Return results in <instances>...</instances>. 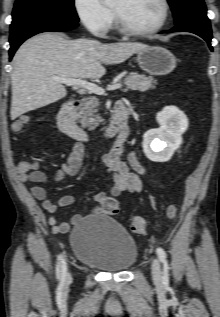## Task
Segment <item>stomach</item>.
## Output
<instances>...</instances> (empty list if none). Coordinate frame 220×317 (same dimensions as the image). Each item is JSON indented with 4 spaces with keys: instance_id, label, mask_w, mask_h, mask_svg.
<instances>
[{
    "instance_id": "stomach-1",
    "label": "stomach",
    "mask_w": 220,
    "mask_h": 317,
    "mask_svg": "<svg viewBox=\"0 0 220 317\" xmlns=\"http://www.w3.org/2000/svg\"><path fill=\"white\" fill-rule=\"evenodd\" d=\"M137 62L150 75H167L176 67L175 56L160 46H147L137 52Z\"/></svg>"
}]
</instances>
